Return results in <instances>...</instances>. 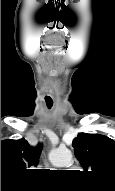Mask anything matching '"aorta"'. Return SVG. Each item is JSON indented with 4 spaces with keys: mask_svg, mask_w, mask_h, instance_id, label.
<instances>
[{
    "mask_svg": "<svg viewBox=\"0 0 115 191\" xmlns=\"http://www.w3.org/2000/svg\"><path fill=\"white\" fill-rule=\"evenodd\" d=\"M54 166L63 167L72 163L73 156L70 150H55L50 155Z\"/></svg>",
    "mask_w": 115,
    "mask_h": 191,
    "instance_id": "aorta-1",
    "label": "aorta"
}]
</instances>
